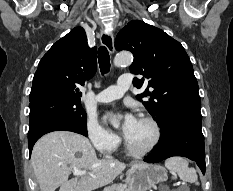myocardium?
<instances>
[{
	"instance_id": "f54148a6",
	"label": "myocardium",
	"mask_w": 233,
	"mask_h": 191,
	"mask_svg": "<svg viewBox=\"0 0 233 191\" xmlns=\"http://www.w3.org/2000/svg\"><path fill=\"white\" fill-rule=\"evenodd\" d=\"M139 119L148 121L152 125V127L154 129V138H153L152 142L150 143V145H148L145 148H139V147L131 144L127 140V138H125V145L130 152H132L136 155H145V154L150 153L152 150H154L156 148V146L158 145V143L161 139V128H160L158 121L154 117H152L148 114L141 115L139 117Z\"/></svg>"
}]
</instances>
